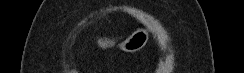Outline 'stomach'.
Wrapping results in <instances>:
<instances>
[{"instance_id": "obj_1", "label": "stomach", "mask_w": 244, "mask_h": 73, "mask_svg": "<svg viewBox=\"0 0 244 73\" xmlns=\"http://www.w3.org/2000/svg\"><path fill=\"white\" fill-rule=\"evenodd\" d=\"M149 39L148 30L145 28L137 29L125 41L121 42L118 47L127 53H134L141 50Z\"/></svg>"}]
</instances>
